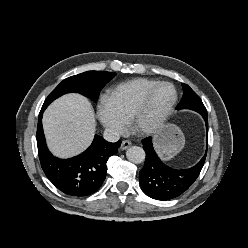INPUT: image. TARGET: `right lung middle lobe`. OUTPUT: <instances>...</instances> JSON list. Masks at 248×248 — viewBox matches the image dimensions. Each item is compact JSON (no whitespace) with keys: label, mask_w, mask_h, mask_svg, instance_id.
<instances>
[{"label":"right lung middle lobe","mask_w":248,"mask_h":248,"mask_svg":"<svg viewBox=\"0 0 248 248\" xmlns=\"http://www.w3.org/2000/svg\"><path fill=\"white\" fill-rule=\"evenodd\" d=\"M115 75L113 72L87 71L66 78L49 94L43 106L47 107L56 98L70 92L80 93L96 100L104 85Z\"/></svg>","instance_id":"1"}]
</instances>
